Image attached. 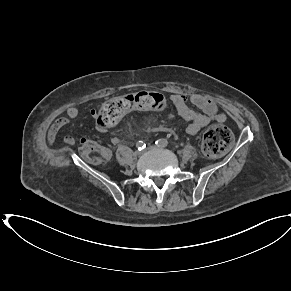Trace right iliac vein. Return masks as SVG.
<instances>
[{"mask_svg":"<svg viewBox=\"0 0 291 291\" xmlns=\"http://www.w3.org/2000/svg\"><path fill=\"white\" fill-rule=\"evenodd\" d=\"M141 154H142V153H141L140 151H135V152H134V155H135V156H140Z\"/></svg>","mask_w":291,"mask_h":291,"instance_id":"right-iliac-vein-1","label":"right iliac vein"}]
</instances>
